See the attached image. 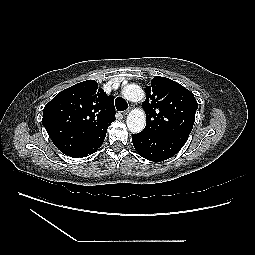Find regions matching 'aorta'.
Returning a JSON list of instances; mask_svg holds the SVG:
<instances>
[{"mask_svg":"<svg viewBox=\"0 0 255 255\" xmlns=\"http://www.w3.org/2000/svg\"><path fill=\"white\" fill-rule=\"evenodd\" d=\"M122 94L131 102H139L145 98L142 88L136 84H130L123 88ZM127 127L132 133L141 132L146 124L145 112L142 109H134L127 116Z\"/></svg>","mask_w":255,"mask_h":255,"instance_id":"762f6f07","label":"aorta"}]
</instances>
